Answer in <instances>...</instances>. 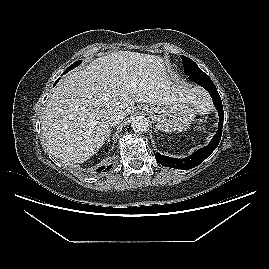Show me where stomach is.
Returning <instances> with one entry per match:
<instances>
[{"label":"stomach","instance_id":"obj_1","mask_svg":"<svg viewBox=\"0 0 269 269\" xmlns=\"http://www.w3.org/2000/svg\"><path fill=\"white\" fill-rule=\"evenodd\" d=\"M143 111L156 122V129L165 133L186 131L198 112L190 103L157 107L144 105Z\"/></svg>","mask_w":269,"mask_h":269}]
</instances>
